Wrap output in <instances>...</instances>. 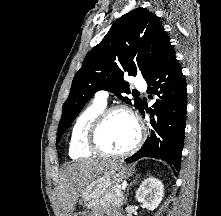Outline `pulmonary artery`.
<instances>
[{
    "label": "pulmonary artery",
    "instance_id": "e3ab8cb5",
    "mask_svg": "<svg viewBox=\"0 0 221 216\" xmlns=\"http://www.w3.org/2000/svg\"><path fill=\"white\" fill-rule=\"evenodd\" d=\"M135 87L138 89H145L146 83L143 79H137L135 81ZM108 94L106 91H99L96 93V100L102 103L107 102Z\"/></svg>",
    "mask_w": 221,
    "mask_h": 216
}]
</instances>
